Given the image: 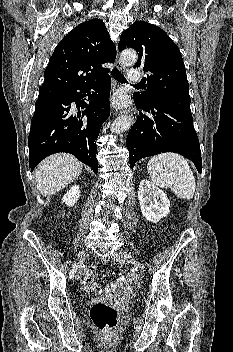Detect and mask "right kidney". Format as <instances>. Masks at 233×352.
<instances>
[{
    "instance_id": "obj_1",
    "label": "right kidney",
    "mask_w": 233,
    "mask_h": 352,
    "mask_svg": "<svg viewBox=\"0 0 233 352\" xmlns=\"http://www.w3.org/2000/svg\"><path fill=\"white\" fill-rule=\"evenodd\" d=\"M80 196V191H79V186L75 185L71 187V189L66 193V195L62 198V201L67 205V206H73L77 200L79 199Z\"/></svg>"
}]
</instances>
